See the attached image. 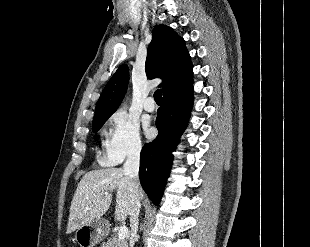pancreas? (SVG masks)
I'll return each instance as SVG.
<instances>
[{
  "label": "pancreas",
  "instance_id": "1",
  "mask_svg": "<svg viewBox=\"0 0 310 247\" xmlns=\"http://www.w3.org/2000/svg\"><path fill=\"white\" fill-rule=\"evenodd\" d=\"M101 247H128V242L126 239L119 240L118 236L113 234Z\"/></svg>",
  "mask_w": 310,
  "mask_h": 247
}]
</instances>
